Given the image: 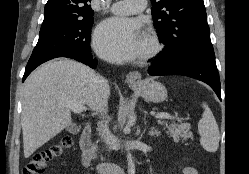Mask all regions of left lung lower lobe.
Segmentation results:
<instances>
[{
    "instance_id": "1",
    "label": "left lung lower lobe",
    "mask_w": 249,
    "mask_h": 174,
    "mask_svg": "<svg viewBox=\"0 0 249 174\" xmlns=\"http://www.w3.org/2000/svg\"><path fill=\"white\" fill-rule=\"evenodd\" d=\"M153 63L148 69L150 75H182L198 79L211 86L221 100L220 79L214 50L188 55L175 61H165L159 55Z\"/></svg>"
}]
</instances>
